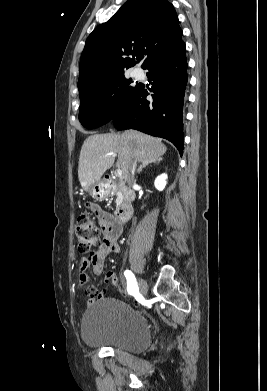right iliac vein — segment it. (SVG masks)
Returning <instances> with one entry per match:
<instances>
[{"mask_svg": "<svg viewBox=\"0 0 267 391\" xmlns=\"http://www.w3.org/2000/svg\"><path fill=\"white\" fill-rule=\"evenodd\" d=\"M139 288H140V292L143 295H145L147 293L148 285H147V282L142 278L139 279Z\"/></svg>", "mask_w": 267, "mask_h": 391, "instance_id": "right-iliac-vein-1", "label": "right iliac vein"}]
</instances>
